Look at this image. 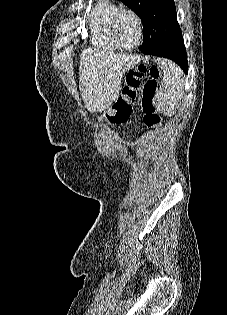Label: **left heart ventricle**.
Instances as JSON below:
<instances>
[{"instance_id":"left-heart-ventricle-1","label":"left heart ventricle","mask_w":227,"mask_h":315,"mask_svg":"<svg viewBox=\"0 0 227 315\" xmlns=\"http://www.w3.org/2000/svg\"><path fill=\"white\" fill-rule=\"evenodd\" d=\"M116 34L123 46H134L138 41V28L135 19L130 15L123 16L116 27Z\"/></svg>"}]
</instances>
